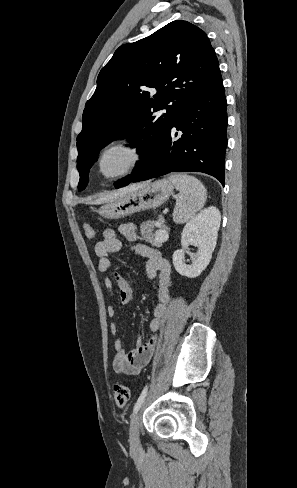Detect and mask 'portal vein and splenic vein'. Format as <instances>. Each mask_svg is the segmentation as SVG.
<instances>
[{"label": "portal vein and splenic vein", "instance_id": "18ae733b", "mask_svg": "<svg viewBox=\"0 0 297 488\" xmlns=\"http://www.w3.org/2000/svg\"><path fill=\"white\" fill-rule=\"evenodd\" d=\"M163 231H158L156 232V236H158L160 233H162Z\"/></svg>", "mask_w": 297, "mask_h": 488}]
</instances>
